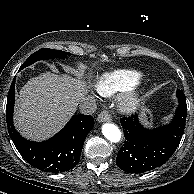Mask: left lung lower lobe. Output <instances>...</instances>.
Segmentation results:
<instances>
[{"label":"left lung lower lobe","mask_w":194,"mask_h":194,"mask_svg":"<svg viewBox=\"0 0 194 194\" xmlns=\"http://www.w3.org/2000/svg\"><path fill=\"white\" fill-rule=\"evenodd\" d=\"M179 105L169 125L148 129L137 115L123 117L125 143L118 151L117 166L128 173H143L164 164L177 149L185 129L187 105L183 91L176 92Z\"/></svg>","instance_id":"0a47b994"}]
</instances>
